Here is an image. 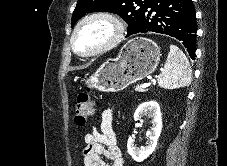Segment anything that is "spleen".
<instances>
[{"instance_id":"spleen-1","label":"spleen","mask_w":227,"mask_h":166,"mask_svg":"<svg viewBox=\"0 0 227 166\" xmlns=\"http://www.w3.org/2000/svg\"><path fill=\"white\" fill-rule=\"evenodd\" d=\"M192 69L188 58L177 46L171 45L164 69L158 77V84L165 89L189 86Z\"/></svg>"}]
</instances>
